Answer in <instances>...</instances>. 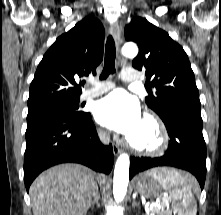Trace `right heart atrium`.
Wrapping results in <instances>:
<instances>
[{"label": "right heart atrium", "mask_w": 221, "mask_h": 215, "mask_svg": "<svg viewBox=\"0 0 221 215\" xmlns=\"http://www.w3.org/2000/svg\"><path fill=\"white\" fill-rule=\"evenodd\" d=\"M98 133H99V136H100L101 138H105V137H106V134H105L104 131L98 130Z\"/></svg>", "instance_id": "d8ad5b80"}]
</instances>
